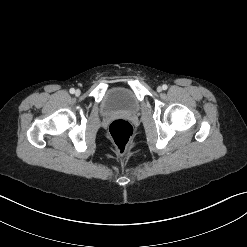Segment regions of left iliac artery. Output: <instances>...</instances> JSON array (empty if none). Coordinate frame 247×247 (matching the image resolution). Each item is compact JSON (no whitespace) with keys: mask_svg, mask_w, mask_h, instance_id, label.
Wrapping results in <instances>:
<instances>
[{"mask_svg":"<svg viewBox=\"0 0 247 247\" xmlns=\"http://www.w3.org/2000/svg\"><path fill=\"white\" fill-rule=\"evenodd\" d=\"M168 88V86L166 84L162 85V89L166 90Z\"/></svg>","mask_w":247,"mask_h":247,"instance_id":"left-iliac-artery-1","label":"left iliac artery"}]
</instances>
